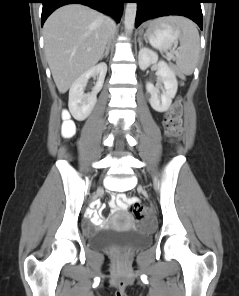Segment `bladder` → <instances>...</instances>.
<instances>
[{"label":"bladder","mask_w":239,"mask_h":296,"mask_svg":"<svg viewBox=\"0 0 239 296\" xmlns=\"http://www.w3.org/2000/svg\"><path fill=\"white\" fill-rule=\"evenodd\" d=\"M91 245L97 249H111L116 247L140 248L150 243L151 236L134 227L126 230L105 228L88 235Z\"/></svg>","instance_id":"obj_1"}]
</instances>
